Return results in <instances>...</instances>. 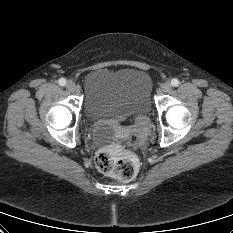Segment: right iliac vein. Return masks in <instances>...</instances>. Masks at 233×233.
Masks as SVG:
<instances>
[{
  "mask_svg": "<svg viewBox=\"0 0 233 233\" xmlns=\"http://www.w3.org/2000/svg\"><path fill=\"white\" fill-rule=\"evenodd\" d=\"M66 88H67V90L70 91V92H75L77 86H76V84H75L74 81L68 80V82L66 83Z\"/></svg>",
  "mask_w": 233,
  "mask_h": 233,
  "instance_id": "obj_1",
  "label": "right iliac vein"
}]
</instances>
